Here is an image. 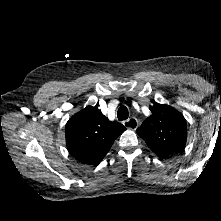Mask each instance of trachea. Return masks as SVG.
Wrapping results in <instances>:
<instances>
[{"label":"trachea","mask_w":221,"mask_h":221,"mask_svg":"<svg viewBox=\"0 0 221 221\" xmlns=\"http://www.w3.org/2000/svg\"><path fill=\"white\" fill-rule=\"evenodd\" d=\"M129 112L126 106H121L118 109L117 117L120 121L128 119Z\"/></svg>","instance_id":"obj_1"}]
</instances>
